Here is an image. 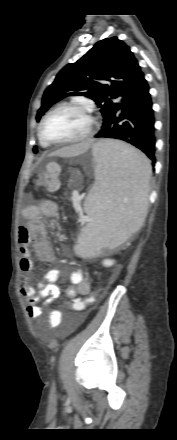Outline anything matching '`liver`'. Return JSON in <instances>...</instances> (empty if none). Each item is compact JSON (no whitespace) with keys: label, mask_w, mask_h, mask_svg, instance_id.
<instances>
[{"label":"liver","mask_w":177,"mask_h":440,"mask_svg":"<svg viewBox=\"0 0 177 440\" xmlns=\"http://www.w3.org/2000/svg\"><path fill=\"white\" fill-rule=\"evenodd\" d=\"M92 144H93V140H88L82 143L63 147L57 150L56 152H54L52 155H57L61 157L78 156L88 151V149L91 147Z\"/></svg>","instance_id":"6515ba94"}]
</instances>
